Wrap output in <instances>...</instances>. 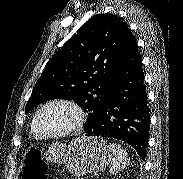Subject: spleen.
Instances as JSON below:
<instances>
[{
  "label": "spleen",
  "instance_id": "spleen-1",
  "mask_svg": "<svg viewBox=\"0 0 183 179\" xmlns=\"http://www.w3.org/2000/svg\"><path fill=\"white\" fill-rule=\"evenodd\" d=\"M109 150L113 155V164L110 168L111 174H117L129 164V158L126 151L120 145L114 143L109 144Z\"/></svg>",
  "mask_w": 183,
  "mask_h": 179
}]
</instances>
